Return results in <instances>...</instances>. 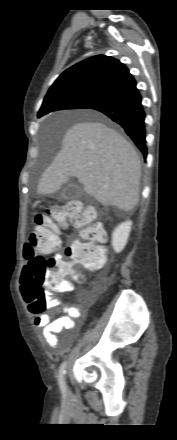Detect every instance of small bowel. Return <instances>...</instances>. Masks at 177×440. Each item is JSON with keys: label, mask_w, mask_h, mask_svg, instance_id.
I'll use <instances>...</instances> for the list:
<instances>
[{"label": "small bowel", "mask_w": 177, "mask_h": 440, "mask_svg": "<svg viewBox=\"0 0 177 440\" xmlns=\"http://www.w3.org/2000/svg\"><path fill=\"white\" fill-rule=\"evenodd\" d=\"M71 283L60 292L72 290ZM81 316V310L77 307L64 305L60 306L57 301L51 305V312L36 315L34 323L37 327L42 328V334L46 343L53 349H58L72 341V336H67L60 340L58 334L63 331L72 332L77 329L75 319Z\"/></svg>", "instance_id": "1"}]
</instances>
